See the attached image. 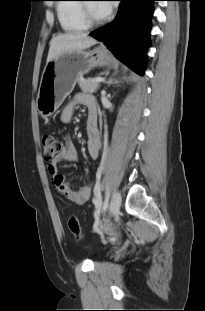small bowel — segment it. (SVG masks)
<instances>
[{
    "label": "small bowel",
    "mask_w": 205,
    "mask_h": 311,
    "mask_svg": "<svg viewBox=\"0 0 205 311\" xmlns=\"http://www.w3.org/2000/svg\"><path fill=\"white\" fill-rule=\"evenodd\" d=\"M77 105H84L88 108L89 116L86 123L87 132V151L92 160L99 156L100 150V133L97 126V104L93 96L86 93H79L75 96L62 111L61 120L64 123L72 121L74 109ZM77 160V151L68 137L65 144L54 158L47 164L48 173L51 176L53 187L61 193L67 200L75 204L86 203L92 194V184L85 181L84 185L78 189L71 187L66 177L58 172V165L61 162H75Z\"/></svg>",
    "instance_id": "1"
}]
</instances>
